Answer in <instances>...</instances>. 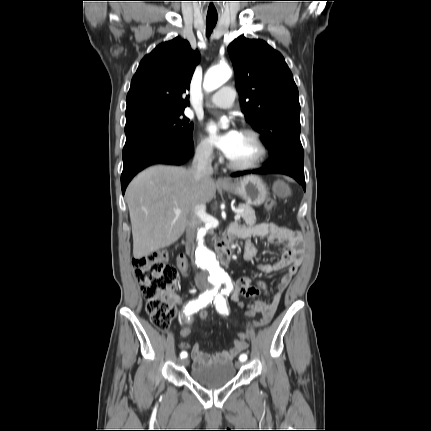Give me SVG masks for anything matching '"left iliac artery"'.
<instances>
[{"mask_svg": "<svg viewBox=\"0 0 431 431\" xmlns=\"http://www.w3.org/2000/svg\"><path fill=\"white\" fill-rule=\"evenodd\" d=\"M226 284V288L224 290H222L220 293H215V298H214V304L216 306V309L219 311V313L221 314H228V306H227V300L225 298L226 295H229L230 290H231V280L230 279H225L223 281ZM240 361L243 362L247 359V355L243 354L240 356Z\"/></svg>", "mask_w": 431, "mask_h": 431, "instance_id": "left-iliac-artery-1", "label": "left iliac artery"}]
</instances>
